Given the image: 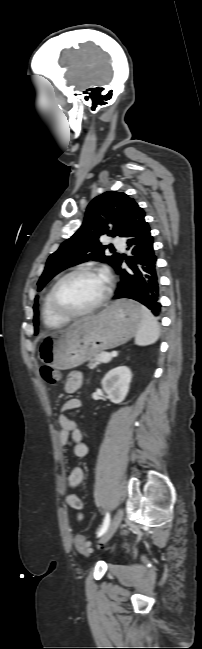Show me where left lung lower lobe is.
<instances>
[{"label": "left lung lower lobe", "mask_w": 202, "mask_h": 649, "mask_svg": "<svg viewBox=\"0 0 202 649\" xmlns=\"http://www.w3.org/2000/svg\"><path fill=\"white\" fill-rule=\"evenodd\" d=\"M132 256L125 259L128 269H122L124 257L119 256L113 265L119 275L114 300L130 298L147 306L155 315L159 314L158 275L156 254L150 227L143 217L137 218L123 236Z\"/></svg>", "instance_id": "obj_1"}]
</instances>
